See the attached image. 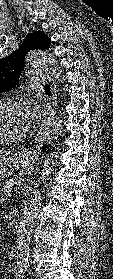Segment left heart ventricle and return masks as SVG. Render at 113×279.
<instances>
[{
    "instance_id": "1",
    "label": "left heart ventricle",
    "mask_w": 113,
    "mask_h": 279,
    "mask_svg": "<svg viewBox=\"0 0 113 279\" xmlns=\"http://www.w3.org/2000/svg\"><path fill=\"white\" fill-rule=\"evenodd\" d=\"M28 129L23 106L0 105V136L16 137Z\"/></svg>"
}]
</instances>
